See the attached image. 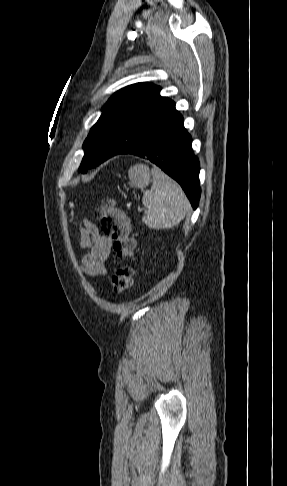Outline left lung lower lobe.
<instances>
[{"label": "left lung lower lobe", "mask_w": 287, "mask_h": 486, "mask_svg": "<svg viewBox=\"0 0 287 486\" xmlns=\"http://www.w3.org/2000/svg\"><path fill=\"white\" fill-rule=\"evenodd\" d=\"M183 121L182 115L175 110L139 147L128 153L150 160L174 178L185 191L193 209H196L201 194L200 165Z\"/></svg>", "instance_id": "1"}]
</instances>
